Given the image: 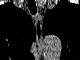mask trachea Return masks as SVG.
I'll list each match as a JSON object with an SVG mask.
<instances>
[{
  "label": "trachea",
  "mask_w": 80,
  "mask_h": 60,
  "mask_svg": "<svg viewBox=\"0 0 80 60\" xmlns=\"http://www.w3.org/2000/svg\"><path fill=\"white\" fill-rule=\"evenodd\" d=\"M28 7H29L31 14H33V15L36 14L37 8H36L35 0H29Z\"/></svg>",
  "instance_id": "1"
}]
</instances>
